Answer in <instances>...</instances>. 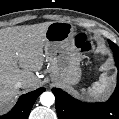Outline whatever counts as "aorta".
<instances>
[{"label": "aorta", "instance_id": "aorta-1", "mask_svg": "<svg viewBox=\"0 0 119 119\" xmlns=\"http://www.w3.org/2000/svg\"><path fill=\"white\" fill-rule=\"evenodd\" d=\"M40 102L44 106H51L55 102V96L52 92H44L40 96Z\"/></svg>", "mask_w": 119, "mask_h": 119}]
</instances>
